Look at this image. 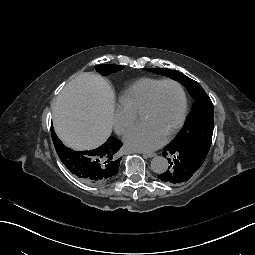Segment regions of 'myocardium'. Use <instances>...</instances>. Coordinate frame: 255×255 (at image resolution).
Here are the masks:
<instances>
[{"label":"myocardium","instance_id":"myocardium-1","mask_svg":"<svg viewBox=\"0 0 255 255\" xmlns=\"http://www.w3.org/2000/svg\"><path fill=\"white\" fill-rule=\"evenodd\" d=\"M165 84H172L175 85L181 94V99H182V105H181V110H180V115L179 118L177 120V123L174 127V129L170 132V134L165 138V142H170L178 133V131L180 130V128L183 125L184 119H185V115H186V110H187V97H186V93L185 90L183 88V86L176 80L174 79H164L161 80L156 86H154V88L151 90L149 97L146 101V103L144 104L141 114L143 112L148 111L154 104V100L156 97V94L158 92V90Z\"/></svg>","mask_w":255,"mask_h":255}]
</instances>
